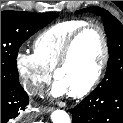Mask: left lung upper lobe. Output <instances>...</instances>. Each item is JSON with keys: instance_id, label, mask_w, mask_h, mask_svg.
Returning a JSON list of instances; mask_svg holds the SVG:
<instances>
[{"instance_id": "5c2ea615", "label": "left lung upper lobe", "mask_w": 123, "mask_h": 123, "mask_svg": "<svg viewBox=\"0 0 123 123\" xmlns=\"http://www.w3.org/2000/svg\"><path fill=\"white\" fill-rule=\"evenodd\" d=\"M83 12H92L102 17L107 35L109 60L105 77L97 88H111L116 83L123 82V25L107 10L100 7H89L77 11V13Z\"/></svg>"}]
</instances>
